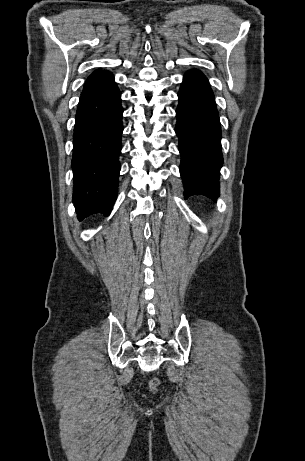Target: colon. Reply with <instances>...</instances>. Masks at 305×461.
I'll return each instance as SVG.
<instances>
[{
	"label": "colon",
	"mask_w": 305,
	"mask_h": 461,
	"mask_svg": "<svg viewBox=\"0 0 305 461\" xmlns=\"http://www.w3.org/2000/svg\"><path fill=\"white\" fill-rule=\"evenodd\" d=\"M149 383L151 388H156L159 384V380L157 378H152Z\"/></svg>",
	"instance_id": "1"
}]
</instances>
